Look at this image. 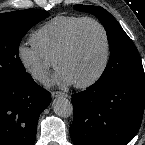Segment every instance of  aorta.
<instances>
[{
	"mask_svg": "<svg viewBox=\"0 0 145 145\" xmlns=\"http://www.w3.org/2000/svg\"><path fill=\"white\" fill-rule=\"evenodd\" d=\"M53 110L58 116L63 118L70 117L73 114L72 103L63 95L54 99Z\"/></svg>",
	"mask_w": 145,
	"mask_h": 145,
	"instance_id": "1",
	"label": "aorta"
}]
</instances>
